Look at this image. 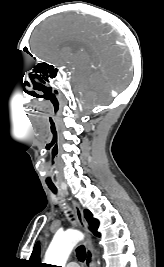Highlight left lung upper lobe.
<instances>
[{"mask_svg":"<svg viewBox=\"0 0 164 267\" xmlns=\"http://www.w3.org/2000/svg\"><path fill=\"white\" fill-rule=\"evenodd\" d=\"M84 215L86 220L89 223V229L94 233V235L99 236L100 234L97 232V228L99 226V222L96 219H93V216L90 211L85 210Z\"/></svg>","mask_w":164,"mask_h":267,"instance_id":"obj_1","label":"left lung upper lobe"}]
</instances>
